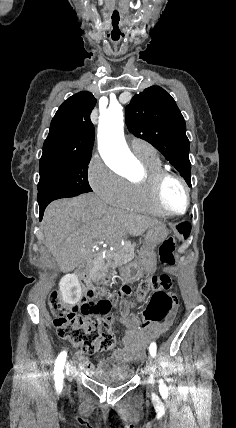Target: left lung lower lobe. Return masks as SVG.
Instances as JSON below:
<instances>
[{"label": "left lung lower lobe", "mask_w": 236, "mask_h": 428, "mask_svg": "<svg viewBox=\"0 0 236 428\" xmlns=\"http://www.w3.org/2000/svg\"><path fill=\"white\" fill-rule=\"evenodd\" d=\"M177 229L180 233H183L185 237L190 234L191 225L188 222H183L177 226Z\"/></svg>", "instance_id": "obj_1"}]
</instances>
